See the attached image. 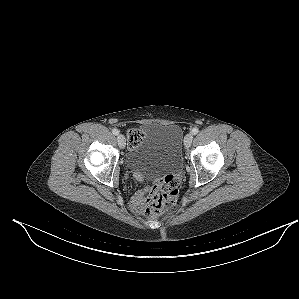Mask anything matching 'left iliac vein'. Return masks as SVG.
Wrapping results in <instances>:
<instances>
[{
	"mask_svg": "<svg viewBox=\"0 0 299 299\" xmlns=\"http://www.w3.org/2000/svg\"><path fill=\"white\" fill-rule=\"evenodd\" d=\"M193 141V135L191 133L187 134L184 138V144L188 148Z\"/></svg>",
	"mask_w": 299,
	"mask_h": 299,
	"instance_id": "4c4485c4",
	"label": "left iliac vein"
}]
</instances>
